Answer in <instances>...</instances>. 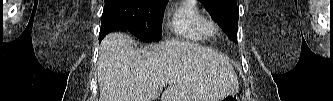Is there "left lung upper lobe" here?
<instances>
[{
  "label": "left lung upper lobe",
  "mask_w": 333,
  "mask_h": 101,
  "mask_svg": "<svg viewBox=\"0 0 333 101\" xmlns=\"http://www.w3.org/2000/svg\"><path fill=\"white\" fill-rule=\"evenodd\" d=\"M214 21L223 28L231 40L237 42L239 9L236 0H199Z\"/></svg>",
  "instance_id": "5c2ea615"
}]
</instances>
